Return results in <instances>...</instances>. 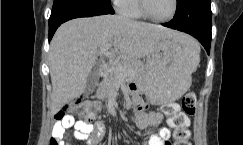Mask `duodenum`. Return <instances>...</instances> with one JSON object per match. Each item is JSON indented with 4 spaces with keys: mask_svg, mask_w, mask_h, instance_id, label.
Listing matches in <instances>:
<instances>
[{
    "mask_svg": "<svg viewBox=\"0 0 243 145\" xmlns=\"http://www.w3.org/2000/svg\"><path fill=\"white\" fill-rule=\"evenodd\" d=\"M107 69L108 68H107L106 65L101 66L100 69H99L100 75H104L107 72Z\"/></svg>",
    "mask_w": 243,
    "mask_h": 145,
    "instance_id": "1",
    "label": "duodenum"
}]
</instances>
